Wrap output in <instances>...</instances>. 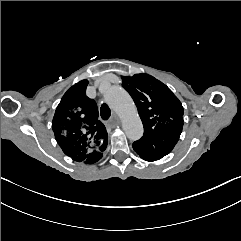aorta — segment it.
I'll return each mask as SVG.
<instances>
[{"mask_svg": "<svg viewBox=\"0 0 241 241\" xmlns=\"http://www.w3.org/2000/svg\"><path fill=\"white\" fill-rule=\"evenodd\" d=\"M105 100L121 118L127 137L133 141L140 139L143 125L130 95L122 87L113 86L105 92Z\"/></svg>", "mask_w": 241, "mask_h": 241, "instance_id": "aorta-1", "label": "aorta"}]
</instances>
